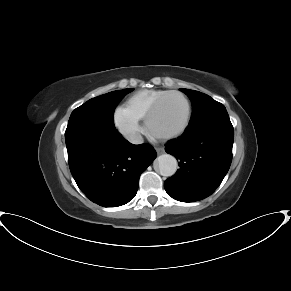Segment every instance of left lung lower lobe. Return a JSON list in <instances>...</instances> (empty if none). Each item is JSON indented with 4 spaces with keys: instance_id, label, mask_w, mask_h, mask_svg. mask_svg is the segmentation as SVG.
Returning a JSON list of instances; mask_svg holds the SVG:
<instances>
[{
    "instance_id": "1",
    "label": "left lung lower lobe",
    "mask_w": 291,
    "mask_h": 291,
    "mask_svg": "<svg viewBox=\"0 0 291 291\" xmlns=\"http://www.w3.org/2000/svg\"><path fill=\"white\" fill-rule=\"evenodd\" d=\"M234 130L227 111L215 114L167 143L179 169L166 179L168 195L182 202L202 200L221 184L232 161Z\"/></svg>"
}]
</instances>
